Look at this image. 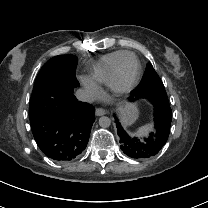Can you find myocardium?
I'll list each match as a JSON object with an SVG mask.
<instances>
[{"instance_id":"obj_1","label":"myocardium","mask_w":208,"mask_h":208,"mask_svg":"<svg viewBox=\"0 0 208 208\" xmlns=\"http://www.w3.org/2000/svg\"><path fill=\"white\" fill-rule=\"evenodd\" d=\"M132 63L137 65V70L134 76L130 80H124L123 73L125 69L130 66ZM142 74V64L137 56H133L122 63L117 67L113 79H112V89L118 93H127L130 92L139 82Z\"/></svg>"}]
</instances>
